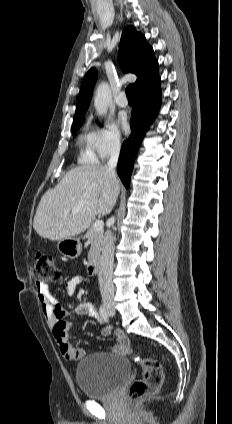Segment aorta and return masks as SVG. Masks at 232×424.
Masks as SVG:
<instances>
[{
    "label": "aorta",
    "instance_id": "aorta-1",
    "mask_svg": "<svg viewBox=\"0 0 232 424\" xmlns=\"http://www.w3.org/2000/svg\"><path fill=\"white\" fill-rule=\"evenodd\" d=\"M111 99L112 95L108 83L102 82L97 87L94 98V106L98 114L103 115L107 113Z\"/></svg>",
    "mask_w": 232,
    "mask_h": 424
}]
</instances>
